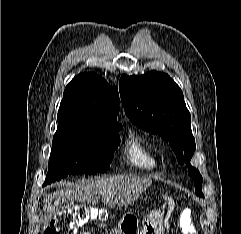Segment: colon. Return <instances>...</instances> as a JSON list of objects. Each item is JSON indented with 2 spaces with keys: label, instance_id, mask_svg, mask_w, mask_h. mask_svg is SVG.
I'll return each mask as SVG.
<instances>
[{
  "label": "colon",
  "instance_id": "obj_1",
  "mask_svg": "<svg viewBox=\"0 0 241 234\" xmlns=\"http://www.w3.org/2000/svg\"><path fill=\"white\" fill-rule=\"evenodd\" d=\"M101 217L98 210L77 205L57 213L45 234H77L78 229L90 219ZM182 234H197L191 211H184L179 218Z\"/></svg>",
  "mask_w": 241,
  "mask_h": 234
}]
</instances>
